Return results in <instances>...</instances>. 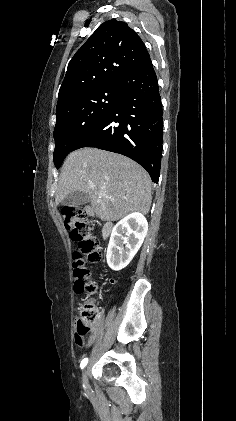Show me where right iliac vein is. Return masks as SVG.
Wrapping results in <instances>:
<instances>
[{
  "label": "right iliac vein",
  "mask_w": 236,
  "mask_h": 421,
  "mask_svg": "<svg viewBox=\"0 0 236 421\" xmlns=\"http://www.w3.org/2000/svg\"><path fill=\"white\" fill-rule=\"evenodd\" d=\"M83 382L85 385H88V368H86L83 373Z\"/></svg>",
  "instance_id": "right-iliac-vein-1"
}]
</instances>
